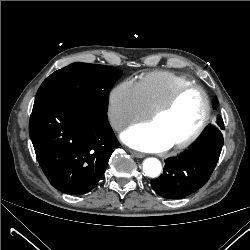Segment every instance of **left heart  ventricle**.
<instances>
[{
	"label": "left heart ventricle",
	"instance_id": "b2bd125f",
	"mask_svg": "<svg viewBox=\"0 0 250 250\" xmlns=\"http://www.w3.org/2000/svg\"><path fill=\"white\" fill-rule=\"evenodd\" d=\"M204 108L202 95L191 90L180 98L170 112L153 119L152 123L174 144L194 132L203 118Z\"/></svg>",
	"mask_w": 250,
	"mask_h": 250
}]
</instances>
